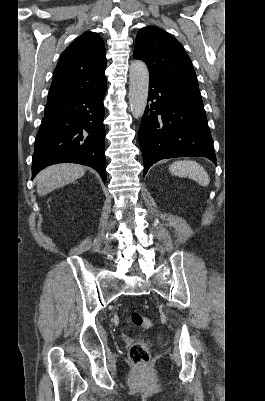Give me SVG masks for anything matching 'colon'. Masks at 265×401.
Returning a JSON list of instances; mask_svg holds the SVG:
<instances>
[{
  "mask_svg": "<svg viewBox=\"0 0 265 401\" xmlns=\"http://www.w3.org/2000/svg\"><path fill=\"white\" fill-rule=\"evenodd\" d=\"M130 322L134 326L143 329H149L152 327V322L136 311L131 313ZM129 358L138 368L146 367L150 361L149 342L147 340L135 342L129 349Z\"/></svg>",
  "mask_w": 265,
  "mask_h": 401,
  "instance_id": "colon-1",
  "label": "colon"
}]
</instances>
